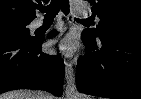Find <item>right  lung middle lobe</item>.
I'll return each instance as SVG.
<instances>
[{
	"mask_svg": "<svg viewBox=\"0 0 141 99\" xmlns=\"http://www.w3.org/2000/svg\"><path fill=\"white\" fill-rule=\"evenodd\" d=\"M31 21H2L0 22V37L14 38L20 40H31L29 28Z\"/></svg>",
	"mask_w": 141,
	"mask_h": 99,
	"instance_id": "right-lung-middle-lobe-1",
	"label": "right lung middle lobe"
}]
</instances>
